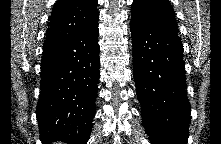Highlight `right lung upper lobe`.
<instances>
[{
	"instance_id": "1",
	"label": "right lung upper lobe",
	"mask_w": 221,
	"mask_h": 144,
	"mask_svg": "<svg viewBox=\"0 0 221 144\" xmlns=\"http://www.w3.org/2000/svg\"><path fill=\"white\" fill-rule=\"evenodd\" d=\"M97 0H58L43 49L70 40L97 25Z\"/></svg>"
}]
</instances>
